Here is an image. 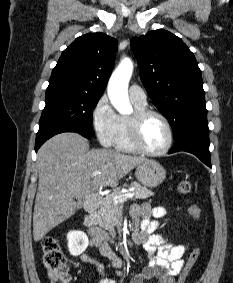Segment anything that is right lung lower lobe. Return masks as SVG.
Here are the masks:
<instances>
[{
	"mask_svg": "<svg viewBox=\"0 0 233 283\" xmlns=\"http://www.w3.org/2000/svg\"><path fill=\"white\" fill-rule=\"evenodd\" d=\"M62 132H76L88 139L92 137L83 131H80L78 129H75L69 126H54V127L47 128L41 132L38 131L37 136H36L35 151L37 152V150L46 140Z\"/></svg>",
	"mask_w": 233,
	"mask_h": 283,
	"instance_id": "right-lung-lower-lobe-1",
	"label": "right lung lower lobe"
}]
</instances>
